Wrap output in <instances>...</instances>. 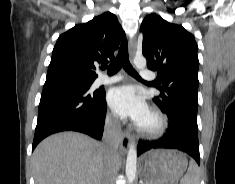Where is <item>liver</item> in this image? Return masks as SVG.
Masks as SVG:
<instances>
[{
	"instance_id": "6515ba94",
	"label": "liver",
	"mask_w": 235,
	"mask_h": 184,
	"mask_svg": "<svg viewBox=\"0 0 235 184\" xmlns=\"http://www.w3.org/2000/svg\"><path fill=\"white\" fill-rule=\"evenodd\" d=\"M112 162L104 146L78 132L40 142L32 156L35 184H100Z\"/></svg>"
}]
</instances>
